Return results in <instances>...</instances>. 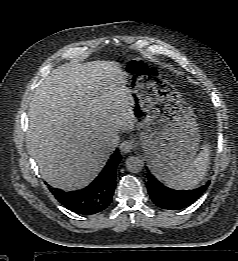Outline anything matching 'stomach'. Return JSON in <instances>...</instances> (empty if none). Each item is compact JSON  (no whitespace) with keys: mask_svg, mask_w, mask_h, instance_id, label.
<instances>
[{"mask_svg":"<svg viewBox=\"0 0 238 261\" xmlns=\"http://www.w3.org/2000/svg\"><path fill=\"white\" fill-rule=\"evenodd\" d=\"M124 85L140 118V144L152 173L162 181L194 159L200 135L196 116L179 90L143 59L122 66Z\"/></svg>","mask_w":238,"mask_h":261,"instance_id":"stomach-1","label":"stomach"}]
</instances>
